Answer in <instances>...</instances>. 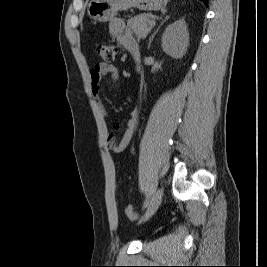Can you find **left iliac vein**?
Segmentation results:
<instances>
[{"label": "left iliac vein", "mask_w": 267, "mask_h": 267, "mask_svg": "<svg viewBox=\"0 0 267 267\" xmlns=\"http://www.w3.org/2000/svg\"><path fill=\"white\" fill-rule=\"evenodd\" d=\"M162 196H163V189L159 188L155 191L153 194L150 203L142 216L140 222H145L147 221L158 209L159 205L161 204L162 201Z\"/></svg>", "instance_id": "4c4485c4"}]
</instances>
